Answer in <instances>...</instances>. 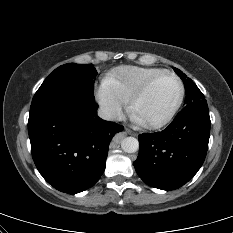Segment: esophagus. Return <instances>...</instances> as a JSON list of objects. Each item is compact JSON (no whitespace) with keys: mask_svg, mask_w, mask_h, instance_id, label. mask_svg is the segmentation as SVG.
<instances>
[{"mask_svg":"<svg viewBox=\"0 0 233 233\" xmlns=\"http://www.w3.org/2000/svg\"><path fill=\"white\" fill-rule=\"evenodd\" d=\"M126 132H127L128 134H130V135H136L134 132H132V131L129 130V129H126Z\"/></svg>","mask_w":233,"mask_h":233,"instance_id":"esophagus-1","label":"esophagus"}]
</instances>
